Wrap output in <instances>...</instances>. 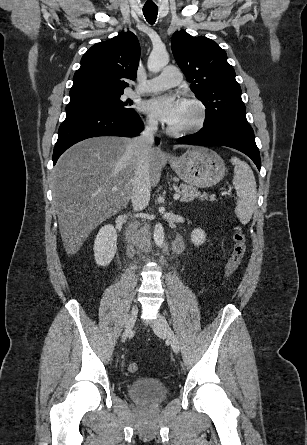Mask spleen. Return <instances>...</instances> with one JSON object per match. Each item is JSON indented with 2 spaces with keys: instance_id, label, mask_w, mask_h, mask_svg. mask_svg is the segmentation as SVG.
<instances>
[{
  "instance_id": "obj_1",
  "label": "spleen",
  "mask_w": 307,
  "mask_h": 445,
  "mask_svg": "<svg viewBox=\"0 0 307 445\" xmlns=\"http://www.w3.org/2000/svg\"><path fill=\"white\" fill-rule=\"evenodd\" d=\"M230 162L234 164L233 184L237 194L236 216H238L242 225H248L257 202L255 176L251 166L245 160L232 156Z\"/></svg>"
}]
</instances>
